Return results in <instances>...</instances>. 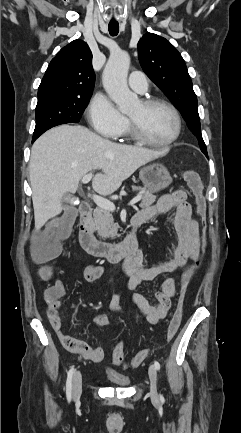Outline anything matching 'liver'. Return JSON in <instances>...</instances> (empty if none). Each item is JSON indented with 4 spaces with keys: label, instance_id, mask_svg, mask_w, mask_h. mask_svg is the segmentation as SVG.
Returning <instances> with one entry per match:
<instances>
[{
    "label": "liver",
    "instance_id": "liver-1",
    "mask_svg": "<svg viewBox=\"0 0 241 433\" xmlns=\"http://www.w3.org/2000/svg\"><path fill=\"white\" fill-rule=\"evenodd\" d=\"M162 155L160 151L113 143L80 125L50 129L33 144L29 162L36 230L62 212L63 195L75 193L88 172L102 170L94 176L92 188L107 196L139 167Z\"/></svg>",
    "mask_w": 241,
    "mask_h": 433
}]
</instances>
